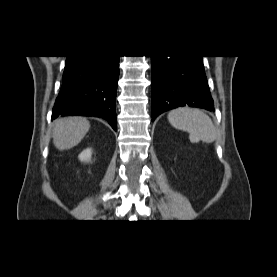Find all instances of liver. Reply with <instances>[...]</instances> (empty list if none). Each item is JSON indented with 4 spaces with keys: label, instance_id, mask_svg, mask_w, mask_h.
I'll use <instances>...</instances> for the list:
<instances>
[{
    "label": "liver",
    "instance_id": "1",
    "mask_svg": "<svg viewBox=\"0 0 277 277\" xmlns=\"http://www.w3.org/2000/svg\"><path fill=\"white\" fill-rule=\"evenodd\" d=\"M89 128L86 118H59L54 122L53 143L58 150L71 149L81 142Z\"/></svg>",
    "mask_w": 277,
    "mask_h": 277
}]
</instances>
